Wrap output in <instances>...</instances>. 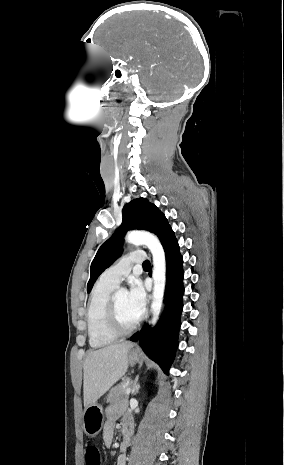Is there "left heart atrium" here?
I'll use <instances>...</instances> for the list:
<instances>
[{"instance_id":"left-heart-atrium-1","label":"left heart atrium","mask_w":284,"mask_h":465,"mask_svg":"<svg viewBox=\"0 0 284 465\" xmlns=\"http://www.w3.org/2000/svg\"><path fill=\"white\" fill-rule=\"evenodd\" d=\"M128 301L131 308L139 315L146 306V293L140 281L134 279L130 282V290L128 292Z\"/></svg>"}]
</instances>
